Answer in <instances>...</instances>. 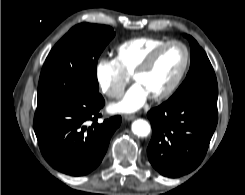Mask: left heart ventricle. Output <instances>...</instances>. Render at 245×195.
<instances>
[{
    "label": "left heart ventricle",
    "mask_w": 245,
    "mask_h": 195,
    "mask_svg": "<svg viewBox=\"0 0 245 195\" xmlns=\"http://www.w3.org/2000/svg\"><path fill=\"white\" fill-rule=\"evenodd\" d=\"M184 60V52L180 46L174 45L163 50L153 65L135 82L140 84L149 96L156 95L166 89L178 74Z\"/></svg>",
    "instance_id": "obj_1"
}]
</instances>
